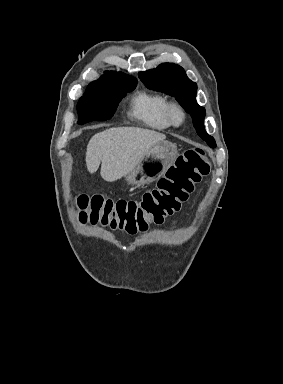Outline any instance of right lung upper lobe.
<instances>
[{
	"mask_svg": "<svg viewBox=\"0 0 283 384\" xmlns=\"http://www.w3.org/2000/svg\"><path fill=\"white\" fill-rule=\"evenodd\" d=\"M120 83H137V80L134 79L132 76H127L122 73L106 71L100 79L91 82L87 88L101 87Z\"/></svg>",
	"mask_w": 283,
	"mask_h": 384,
	"instance_id": "1",
	"label": "right lung upper lobe"
}]
</instances>
